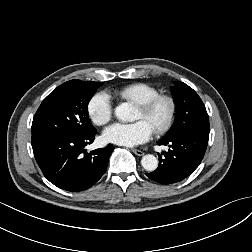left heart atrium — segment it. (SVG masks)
I'll use <instances>...</instances> for the list:
<instances>
[{
    "mask_svg": "<svg viewBox=\"0 0 252 252\" xmlns=\"http://www.w3.org/2000/svg\"><path fill=\"white\" fill-rule=\"evenodd\" d=\"M153 134V126L146 120L135 123H115L105 129L103 138L106 142L127 147L147 142Z\"/></svg>",
    "mask_w": 252,
    "mask_h": 252,
    "instance_id": "1",
    "label": "left heart atrium"
}]
</instances>
